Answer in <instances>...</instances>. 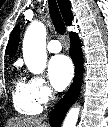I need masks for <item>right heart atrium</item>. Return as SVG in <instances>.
Listing matches in <instances>:
<instances>
[{"label": "right heart atrium", "instance_id": "d8ad5b80", "mask_svg": "<svg viewBox=\"0 0 108 127\" xmlns=\"http://www.w3.org/2000/svg\"><path fill=\"white\" fill-rule=\"evenodd\" d=\"M29 85L33 96L40 105L48 103L54 96L52 88L41 76L32 77L29 81Z\"/></svg>", "mask_w": 108, "mask_h": 127}]
</instances>
